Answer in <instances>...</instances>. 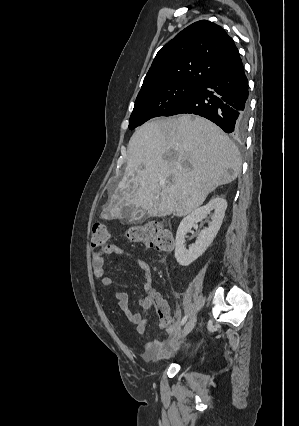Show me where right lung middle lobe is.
Listing matches in <instances>:
<instances>
[{"instance_id":"1","label":"right lung middle lobe","mask_w":299,"mask_h":426,"mask_svg":"<svg viewBox=\"0 0 299 426\" xmlns=\"http://www.w3.org/2000/svg\"><path fill=\"white\" fill-rule=\"evenodd\" d=\"M199 87L188 83H172L143 92L136 98L129 128L134 129L153 117L164 116Z\"/></svg>"}]
</instances>
